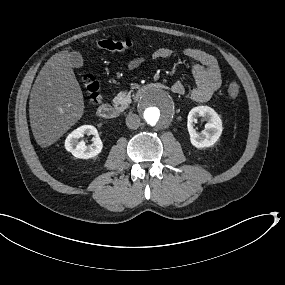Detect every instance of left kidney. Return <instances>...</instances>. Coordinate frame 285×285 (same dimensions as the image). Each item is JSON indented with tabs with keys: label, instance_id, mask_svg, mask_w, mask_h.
I'll return each mask as SVG.
<instances>
[{
	"label": "left kidney",
	"instance_id": "obj_1",
	"mask_svg": "<svg viewBox=\"0 0 285 285\" xmlns=\"http://www.w3.org/2000/svg\"><path fill=\"white\" fill-rule=\"evenodd\" d=\"M199 117L204 118L207 123L205 130L199 134L194 129V123ZM187 128L192 145L197 148L210 147L215 144L222 134V120L214 109L208 106L194 107L188 114Z\"/></svg>",
	"mask_w": 285,
	"mask_h": 285
}]
</instances>
